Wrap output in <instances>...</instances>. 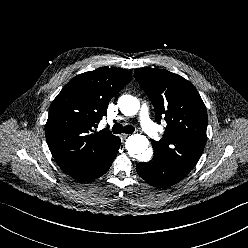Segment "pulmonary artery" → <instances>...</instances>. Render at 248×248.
<instances>
[{
	"mask_svg": "<svg viewBox=\"0 0 248 248\" xmlns=\"http://www.w3.org/2000/svg\"><path fill=\"white\" fill-rule=\"evenodd\" d=\"M140 123L145 131L152 138L158 137V130L149 117L148 107L143 105L140 111Z\"/></svg>",
	"mask_w": 248,
	"mask_h": 248,
	"instance_id": "e3ab8cb5",
	"label": "pulmonary artery"
}]
</instances>
